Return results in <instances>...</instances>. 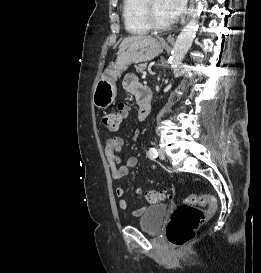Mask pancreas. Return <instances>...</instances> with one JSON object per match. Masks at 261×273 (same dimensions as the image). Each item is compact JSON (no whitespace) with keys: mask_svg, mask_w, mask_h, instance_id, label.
Listing matches in <instances>:
<instances>
[{"mask_svg":"<svg viewBox=\"0 0 261 273\" xmlns=\"http://www.w3.org/2000/svg\"><path fill=\"white\" fill-rule=\"evenodd\" d=\"M146 66H147L146 63H141V64L135 66V69H136L137 72L143 73L144 70L146 69Z\"/></svg>","mask_w":261,"mask_h":273,"instance_id":"pancreas-1","label":"pancreas"}]
</instances>
